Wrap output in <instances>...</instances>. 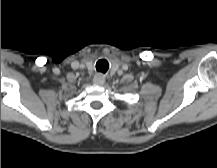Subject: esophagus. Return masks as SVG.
<instances>
[{
	"instance_id": "esophagus-1",
	"label": "esophagus",
	"mask_w": 217,
	"mask_h": 168,
	"mask_svg": "<svg viewBox=\"0 0 217 168\" xmlns=\"http://www.w3.org/2000/svg\"><path fill=\"white\" fill-rule=\"evenodd\" d=\"M93 82L96 85H103L105 83V76L102 73H97L93 78Z\"/></svg>"
}]
</instances>
